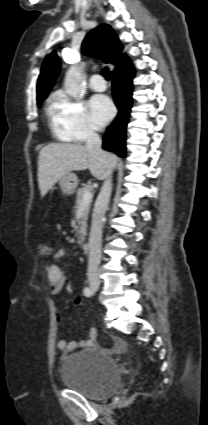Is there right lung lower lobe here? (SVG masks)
<instances>
[{"label":"right lung lower lobe","instance_id":"1","mask_svg":"<svg viewBox=\"0 0 208 425\" xmlns=\"http://www.w3.org/2000/svg\"><path fill=\"white\" fill-rule=\"evenodd\" d=\"M112 78L114 102L119 113L103 137V148L124 157L126 154V126L132 106V80L134 78L132 64L112 73Z\"/></svg>","mask_w":208,"mask_h":425}]
</instances>
